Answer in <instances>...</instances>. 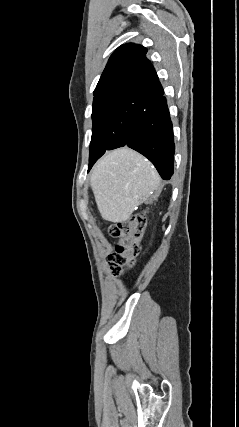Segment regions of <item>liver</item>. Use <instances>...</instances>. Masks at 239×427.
I'll list each match as a JSON object with an SVG mask.
<instances>
[{
    "label": "liver",
    "instance_id": "obj_1",
    "mask_svg": "<svg viewBox=\"0 0 239 427\" xmlns=\"http://www.w3.org/2000/svg\"><path fill=\"white\" fill-rule=\"evenodd\" d=\"M91 188L102 218L114 223L130 219L138 205L149 202L161 190L152 164L127 147L109 152L97 162Z\"/></svg>",
    "mask_w": 239,
    "mask_h": 427
}]
</instances>
